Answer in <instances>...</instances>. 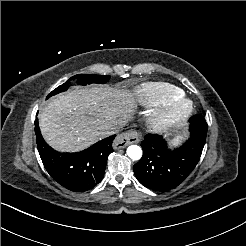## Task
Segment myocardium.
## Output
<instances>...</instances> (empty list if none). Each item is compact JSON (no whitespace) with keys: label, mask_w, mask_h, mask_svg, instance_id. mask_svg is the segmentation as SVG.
I'll return each instance as SVG.
<instances>
[{"label":"myocardium","mask_w":246,"mask_h":246,"mask_svg":"<svg viewBox=\"0 0 246 246\" xmlns=\"http://www.w3.org/2000/svg\"><path fill=\"white\" fill-rule=\"evenodd\" d=\"M192 111V105L185 99H178L169 106L158 110L153 115V122L158 131L173 127L183 121Z\"/></svg>","instance_id":"myocardium-1"}]
</instances>
